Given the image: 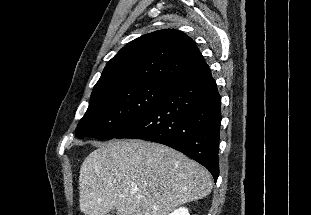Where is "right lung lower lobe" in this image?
Masks as SVG:
<instances>
[{"instance_id": "1", "label": "right lung lower lobe", "mask_w": 311, "mask_h": 215, "mask_svg": "<svg viewBox=\"0 0 311 215\" xmlns=\"http://www.w3.org/2000/svg\"><path fill=\"white\" fill-rule=\"evenodd\" d=\"M221 97L205 65L168 84L156 106L115 138L143 139L172 147L219 176Z\"/></svg>"}]
</instances>
